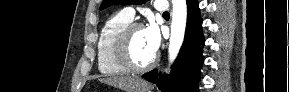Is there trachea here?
<instances>
[{"instance_id":"1","label":"trachea","mask_w":289,"mask_h":92,"mask_svg":"<svg viewBox=\"0 0 289 92\" xmlns=\"http://www.w3.org/2000/svg\"><path fill=\"white\" fill-rule=\"evenodd\" d=\"M163 15H164V16H168V15H169V12H164Z\"/></svg>"}]
</instances>
